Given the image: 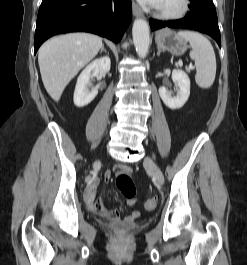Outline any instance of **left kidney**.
<instances>
[{"label": "left kidney", "instance_id": "5707ae66", "mask_svg": "<svg viewBox=\"0 0 247 265\" xmlns=\"http://www.w3.org/2000/svg\"><path fill=\"white\" fill-rule=\"evenodd\" d=\"M172 80L176 86L179 87L178 93L176 96L168 92L165 87L159 88V95L164 102V104L170 109H179L183 107L190 95V79L188 75L182 70H173L172 71Z\"/></svg>", "mask_w": 247, "mask_h": 265}]
</instances>
